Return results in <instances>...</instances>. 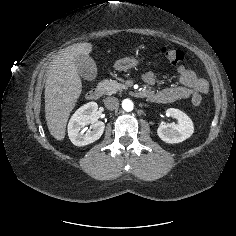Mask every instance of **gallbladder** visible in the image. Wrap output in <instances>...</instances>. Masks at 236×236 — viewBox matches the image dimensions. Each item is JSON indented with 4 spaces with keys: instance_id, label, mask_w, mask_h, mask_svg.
Masks as SVG:
<instances>
[{
    "instance_id": "1",
    "label": "gallbladder",
    "mask_w": 236,
    "mask_h": 236,
    "mask_svg": "<svg viewBox=\"0 0 236 236\" xmlns=\"http://www.w3.org/2000/svg\"><path fill=\"white\" fill-rule=\"evenodd\" d=\"M76 69L80 76L87 81H93L97 76V66L89 55H81L77 58Z\"/></svg>"
}]
</instances>
